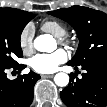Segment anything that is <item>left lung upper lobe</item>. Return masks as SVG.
I'll return each mask as SVG.
<instances>
[{"label": "left lung upper lobe", "instance_id": "left-lung-upper-lobe-1", "mask_svg": "<svg viewBox=\"0 0 107 107\" xmlns=\"http://www.w3.org/2000/svg\"><path fill=\"white\" fill-rule=\"evenodd\" d=\"M48 13L68 22L77 32L79 47L69 65L81 66L97 59H107V14L82 6Z\"/></svg>", "mask_w": 107, "mask_h": 107}]
</instances>
